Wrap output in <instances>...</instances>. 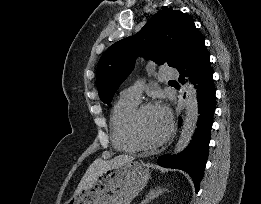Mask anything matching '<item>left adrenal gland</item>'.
<instances>
[{"mask_svg":"<svg viewBox=\"0 0 261 204\" xmlns=\"http://www.w3.org/2000/svg\"><path fill=\"white\" fill-rule=\"evenodd\" d=\"M166 191V189H161L160 187L151 189L149 193L146 195L145 199L141 202V204H148L155 198H157L159 195H162V193Z\"/></svg>","mask_w":261,"mask_h":204,"instance_id":"left-adrenal-gland-1","label":"left adrenal gland"}]
</instances>
